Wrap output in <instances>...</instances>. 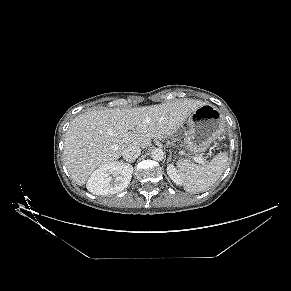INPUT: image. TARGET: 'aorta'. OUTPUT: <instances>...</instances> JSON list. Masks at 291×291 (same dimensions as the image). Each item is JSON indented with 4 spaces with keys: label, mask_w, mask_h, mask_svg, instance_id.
<instances>
[{
    "label": "aorta",
    "mask_w": 291,
    "mask_h": 291,
    "mask_svg": "<svg viewBox=\"0 0 291 291\" xmlns=\"http://www.w3.org/2000/svg\"><path fill=\"white\" fill-rule=\"evenodd\" d=\"M151 157L155 161H162L165 157V152L160 148H155L151 152Z\"/></svg>",
    "instance_id": "aorta-1"
}]
</instances>
